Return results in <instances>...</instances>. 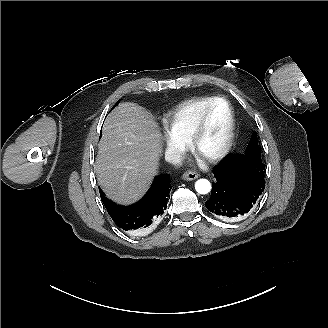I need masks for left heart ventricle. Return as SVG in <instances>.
<instances>
[{
  "mask_svg": "<svg viewBox=\"0 0 328 328\" xmlns=\"http://www.w3.org/2000/svg\"><path fill=\"white\" fill-rule=\"evenodd\" d=\"M229 126V111L224 103H218L209 113L206 129L200 141V152L212 154L224 143Z\"/></svg>",
  "mask_w": 328,
  "mask_h": 328,
  "instance_id": "1",
  "label": "left heart ventricle"
}]
</instances>
